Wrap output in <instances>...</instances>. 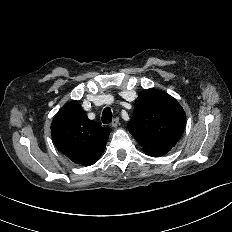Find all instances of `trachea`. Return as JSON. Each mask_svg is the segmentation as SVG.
Segmentation results:
<instances>
[{
	"mask_svg": "<svg viewBox=\"0 0 232 232\" xmlns=\"http://www.w3.org/2000/svg\"><path fill=\"white\" fill-rule=\"evenodd\" d=\"M112 121V112L109 107H106L102 112L103 124H109Z\"/></svg>",
	"mask_w": 232,
	"mask_h": 232,
	"instance_id": "obj_1",
	"label": "trachea"
}]
</instances>
